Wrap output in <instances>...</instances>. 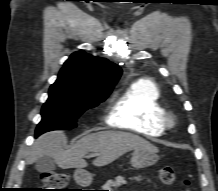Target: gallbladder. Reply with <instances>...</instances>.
Returning a JSON list of instances; mask_svg holds the SVG:
<instances>
[{"label":"gallbladder","mask_w":218,"mask_h":191,"mask_svg":"<svg viewBox=\"0 0 218 191\" xmlns=\"http://www.w3.org/2000/svg\"><path fill=\"white\" fill-rule=\"evenodd\" d=\"M35 168L38 172H51L55 170V161L50 156H43L36 161Z\"/></svg>","instance_id":"gallbladder-1"}]
</instances>
